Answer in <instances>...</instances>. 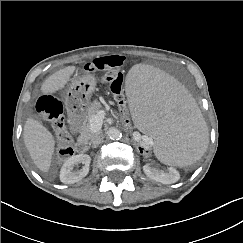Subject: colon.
<instances>
[{"mask_svg": "<svg viewBox=\"0 0 243 243\" xmlns=\"http://www.w3.org/2000/svg\"><path fill=\"white\" fill-rule=\"evenodd\" d=\"M125 64V57L122 55H111L99 57L88 62L83 70L87 74L103 73L102 81L109 84L112 93L116 97V110L122 125V136L130 137L131 129L134 127V120L131 118L130 111L127 108V100L123 95V74L122 68ZM37 110L40 115L47 120L53 130L56 132L59 140L58 156L60 159H66L74 154V142L66 130L65 119L63 115V105L59 99L52 95H43L37 101ZM136 152L144 153L145 144L137 143ZM148 159L156 158L155 150L147 151Z\"/></svg>", "mask_w": 243, "mask_h": 243, "instance_id": "obj_1", "label": "colon"}]
</instances>
